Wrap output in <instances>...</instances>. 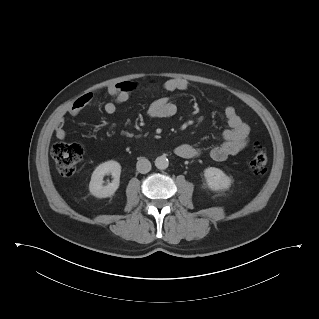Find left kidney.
I'll return each instance as SVG.
<instances>
[{"label": "left kidney", "mask_w": 319, "mask_h": 319, "mask_svg": "<svg viewBox=\"0 0 319 319\" xmlns=\"http://www.w3.org/2000/svg\"><path fill=\"white\" fill-rule=\"evenodd\" d=\"M204 177L211 190H226L231 186V179L218 168L209 167L205 169Z\"/></svg>", "instance_id": "5707ae66"}]
</instances>
